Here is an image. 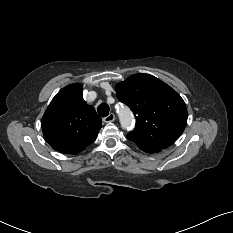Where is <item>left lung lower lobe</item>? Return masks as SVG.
Instances as JSON below:
<instances>
[{"label":"left lung lower lobe","mask_w":233,"mask_h":233,"mask_svg":"<svg viewBox=\"0 0 233 233\" xmlns=\"http://www.w3.org/2000/svg\"><path fill=\"white\" fill-rule=\"evenodd\" d=\"M142 150L148 153H156L161 151V149H142Z\"/></svg>","instance_id":"1"}]
</instances>
